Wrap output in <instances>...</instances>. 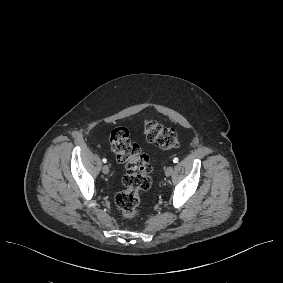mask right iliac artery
Returning a JSON list of instances; mask_svg holds the SVG:
<instances>
[{"mask_svg":"<svg viewBox=\"0 0 283 283\" xmlns=\"http://www.w3.org/2000/svg\"><path fill=\"white\" fill-rule=\"evenodd\" d=\"M102 161H103L104 163H106V162H107V159H106V158H103Z\"/></svg>","mask_w":283,"mask_h":283,"instance_id":"1","label":"right iliac artery"}]
</instances>
